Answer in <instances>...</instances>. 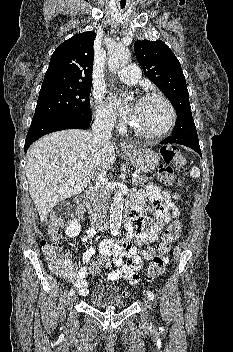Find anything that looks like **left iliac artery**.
<instances>
[{"instance_id": "44dca946", "label": "left iliac artery", "mask_w": 233, "mask_h": 352, "mask_svg": "<svg viewBox=\"0 0 233 352\" xmlns=\"http://www.w3.org/2000/svg\"><path fill=\"white\" fill-rule=\"evenodd\" d=\"M146 293H147L148 297H149L151 300H154V299H155V296H154V294H153L152 291L147 290Z\"/></svg>"}]
</instances>
